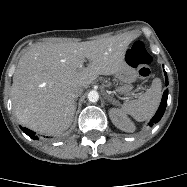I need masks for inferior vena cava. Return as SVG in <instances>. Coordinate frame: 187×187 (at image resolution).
I'll return each instance as SVG.
<instances>
[{
    "mask_svg": "<svg viewBox=\"0 0 187 187\" xmlns=\"http://www.w3.org/2000/svg\"><path fill=\"white\" fill-rule=\"evenodd\" d=\"M83 92V88L81 87H77L75 89H73L70 93L72 98H78Z\"/></svg>",
    "mask_w": 187,
    "mask_h": 187,
    "instance_id": "1",
    "label": "inferior vena cava"
}]
</instances>
